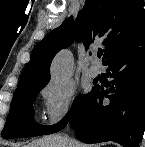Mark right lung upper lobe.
I'll list each match as a JSON object with an SVG mask.
<instances>
[{
    "mask_svg": "<svg viewBox=\"0 0 145 147\" xmlns=\"http://www.w3.org/2000/svg\"><path fill=\"white\" fill-rule=\"evenodd\" d=\"M144 6L143 0H86L76 21L67 18L34 47L15 91L46 86L52 59L74 39L83 41L86 49L94 40L101 41L104 63L130 36L145 28Z\"/></svg>",
    "mask_w": 145,
    "mask_h": 147,
    "instance_id": "obj_1",
    "label": "right lung upper lobe"
}]
</instances>
